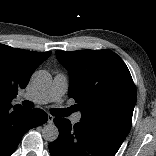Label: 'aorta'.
Wrapping results in <instances>:
<instances>
[{
    "mask_svg": "<svg viewBox=\"0 0 156 156\" xmlns=\"http://www.w3.org/2000/svg\"><path fill=\"white\" fill-rule=\"evenodd\" d=\"M32 81L37 89L45 90L51 86L52 78L49 72L45 70L35 71L32 75ZM59 136V130L53 123L45 125L42 129L44 140L54 142Z\"/></svg>",
    "mask_w": 156,
    "mask_h": 156,
    "instance_id": "1",
    "label": "aorta"
}]
</instances>
